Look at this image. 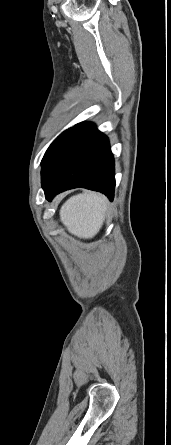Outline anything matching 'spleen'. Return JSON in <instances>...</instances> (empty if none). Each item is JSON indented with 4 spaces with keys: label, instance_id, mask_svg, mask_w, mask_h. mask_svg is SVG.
Wrapping results in <instances>:
<instances>
[{
    "label": "spleen",
    "instance_id": "obj_1",
    "mask_svg": "<svg viewBox=\"0 0 171 445\" xmlns=\"http://www.w3.org/2000/svg\"><path fill=\"white\" fill-rule=\"evenodd\" d=\"M107 199L98 193L85 192L68 199L60 209V219L68 231L80 238H92L103 225Z\"/></svg>",
    "mask_w": 171,
    "mask_h": 445
}]
</instances>
